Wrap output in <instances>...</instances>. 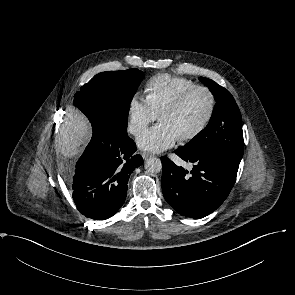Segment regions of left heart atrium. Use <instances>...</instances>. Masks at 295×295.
Returning <instances> with one entry per match:
<instances>
[{"label": "left heart atrium", "mask_w": 295, "mask_h": 295, "mask_svg": "<svg viewBox=\"0 0 295 295\" xmlns=\"http://www.w3.org/2000/svg\"><path fill=\"white\" fill-rule=\"evenodd\" d=\"M178 139L173 129L160 123L142 133L137 139V144L142 150L161 152L172 147Z\"/></svg>", "instance_id": "39dd6f15"}]
</instances>
